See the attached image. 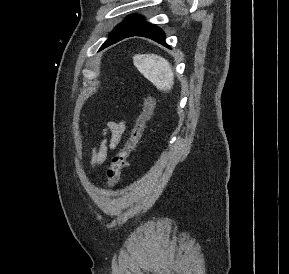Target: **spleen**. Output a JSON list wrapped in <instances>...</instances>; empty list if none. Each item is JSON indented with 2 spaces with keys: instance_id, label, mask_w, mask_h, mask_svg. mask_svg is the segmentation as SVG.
Here are the masks:
<instances>
[{
  "instance_id": "3e777b00",
  "label": "spleen",
  "mask_w": 289,
  "mask_h": 274,
  "mask_svg": "<svg viewBox=\"0 0 289 274\" xmlns=\"http://www.w3.org/2000/svg\"><path fill=\"white\" fill-rule=\"evenodd\" d=\"M133 63L140 73L159 90L169 91L174 84V73L170 63L155 54L136 55Z\"/></svg>"
}]
</instances>
